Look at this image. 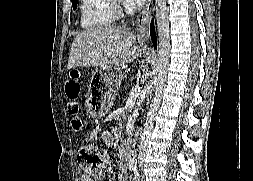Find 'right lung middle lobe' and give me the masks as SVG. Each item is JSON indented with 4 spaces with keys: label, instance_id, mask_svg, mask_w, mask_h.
Listing matches in <instances>:
<instances>
[{
    "label": "right lung middle lobe",
    "instance_id": "dd1d6c3e",
    "mask_svg": "<svg viewBox=\"0 0 253 181\" xmlns=\"http://www.w3.org/2000/svg\"><path fill=\"white\" fill-rule=\"evenodd\" d=\"M72 7H73V10L76 9V7H77V0H72Z\"/></svg>",
    "mask_w": 253,
    "mask_h": 181
}]
</instances>
